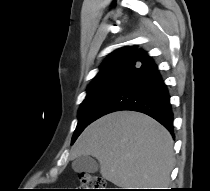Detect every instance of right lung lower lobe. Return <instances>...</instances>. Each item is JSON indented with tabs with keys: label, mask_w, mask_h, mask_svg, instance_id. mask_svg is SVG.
Masks as SVG:
<instances>
[{
	"label": "right lung lower lobe",
	"mask_w": 210,
	"mask_h": 191,
	"mask_svg": "<svg viewBox=\"0 0 210 191\" xmlns=\"http://www.w3.org/2000/svg\"><path fill=\"white\" fill-rule=\"evenodd\" d=\"M121 110L145 113L161 123L174 136L168 88L156 64L143 50H138L131 57L121 76L98 107L94 119Z\"/></svg>",
	"instance_id": "1"
}]
</instances>
